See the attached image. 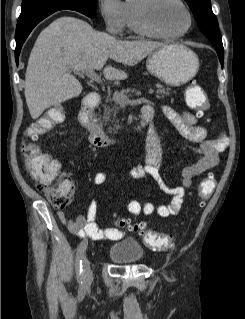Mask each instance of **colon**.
<instances>
[{
    "label": "colon",
    "instance_id": "5ec220e1",
    "mask_svg": "<svg viewBox=\"0 0 245 319\" xmlns=\"http://www.w3.org/2000/svg\"><path fill=\"white\" fill-rule=\"evenodd\" d=\"M185 97L187 105L197 111V113L203 114L209 110V99L205 90L200 86L189 85L186 89ZM64 118L65 112L62 108L49 109L29 127L27 131L28 139L35 140L44 135L63 122ZM22 153L27 172L34 181L35 186L46 194L50 204L59 209L68 207L73 200L74 184L70 174L61 169L59 161L41 151L33 142L24 143ZM214 188V176L212 174L206 175L199 185L201 199L206 200L212 194ZM117 225L120 228L139 233L149 248H174L172 236L149 229L145 222H133L127 218H118Z\"/></svg>",
    "mask_w": 245,
    "mask_h": 319
}]
</instances>
